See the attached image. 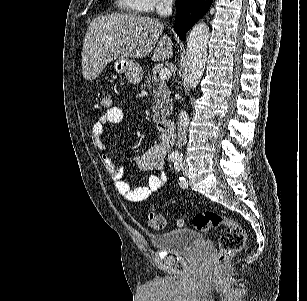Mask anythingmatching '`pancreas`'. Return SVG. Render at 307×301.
<instances>
[{"label":"pancreas","instance_id":"obj_1","mask_svg":"<svg viewBox=\"0 0 307 301\" xmlns=\"http://www.w3.org/2000/svg\"><path fill=\"white\" fill-rule=\"evenodd\" d=\"M145 78L146 80L142 84V88L146 86L150 94H153V116H167L170 112L172 102V98H170L171 92L167 86V82L161 80V78L152 76V74H148Z\"/></svg>","mask_w":307,"mask_h":301}]
</instances>
